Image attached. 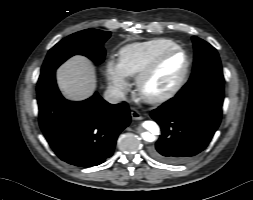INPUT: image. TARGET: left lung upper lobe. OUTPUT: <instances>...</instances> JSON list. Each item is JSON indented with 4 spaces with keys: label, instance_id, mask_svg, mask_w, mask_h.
<instances>
[{
    "label": "left lung upper lobe",
    "instance_id": "obj_1",
    "mask_svg": "<svg viewBox=\"0 0 253 200\" xmlns=\"http://www.w3.org/2000/svg\"><path fill=\"white\" fill-rule=\"evenodd\" d=\"M194 67L188 82L179 91L182 94L190 92L204 82L224 83L220 58L216 49L204 40L193 36Z\"/></svg>",
    "mask_w": 253,
    "mask_h": 200
}]
</instances>
